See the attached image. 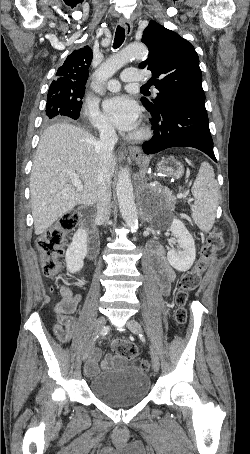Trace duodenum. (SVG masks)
<instances>
[{"mask_svg": "<svg viewBox=\"0 0 250 454\" xmlns=\"http://www.w3.org/2000/svg\"><path fill=\"white\" fill-rule=\"evenodd\" d=\"M82 222L87 232V242L89 246V256H93L98 248L99 235L94 226L93 211L90 208H85L82 211Z\"/></svg>", "mask_w": 250, "mask_h": 454, "instance_id": "410a0bca", "label": "duodenum"}]
</instances>
